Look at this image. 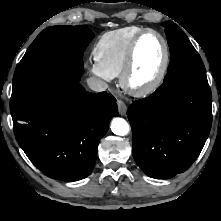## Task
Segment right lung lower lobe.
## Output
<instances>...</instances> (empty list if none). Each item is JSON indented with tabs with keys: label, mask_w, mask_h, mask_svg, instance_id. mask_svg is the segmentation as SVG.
I'll list each match as a JSON object with an SVG mask.
<instances>
[{
	"label": "right lung lower lobe",
	"mask_w": 221,
	"mask_h": 221,
	"mask_svg": "<svg viewBox=\"0 0 221 221\" xmlns=\"http://www.w3.org/2000/svg\"><path fill=\"white\" fill-rule=\"evenodd\" d=\"M80 76L63 73L59 86L11 112L20 147L41 172L57 180L91 174L99 141L118 115L116 99L107 92L85 91Z\"/></svg>",
	"instance_id": "98d812e1"
}]
</instances>
